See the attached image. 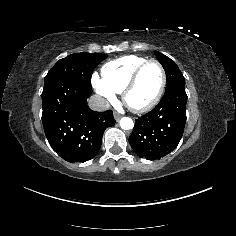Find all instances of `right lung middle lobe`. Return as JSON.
Listing matches in <instances>:
<instances>
[{"instance_id":"dd1d6c3e","label":"right lung middle lobe","mask_w":236,"mask_h":236,"mask_svg":"<svg viewBox=\"0 0 236 236\" xmlns=\"http://www.w3.org/2000/svg\"><path fill=\"white\" fill-rule=\"evenodd\" d=\"M106 57V54L82 52L60 59L46 75L44 87L57 80H72L91 88L93 70Z\"/></svg>"}]
</instances>
